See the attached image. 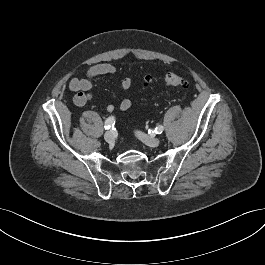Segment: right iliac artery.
<instances>
[{
	"label": "right iliac artery",
	"instance_id": "obj_1",
	"mask_svg": "<svg viewBox=\"0 0 265 265\" xmlns=\"http://www.w3.org/2000/svg\"><path fill=\"white\" fill-rule=\"evenodd\" d=\"M114 124H115V117L114 116H110L109 118H107V120L105 121V126L104 128L106 130H109L111 128L114 127Z\"/></svg>",
	"mask_w": 265,
	"mask_h": 265
}]
</instances>
